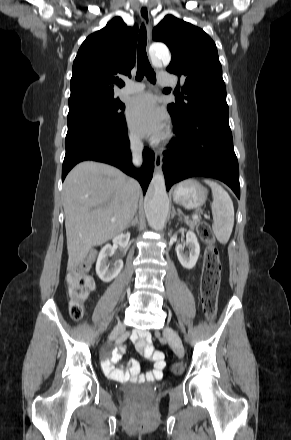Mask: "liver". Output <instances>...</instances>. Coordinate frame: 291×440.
<instances>
[{
    "mask_svg": "<svg viewBox=\"0 0 291 440\" xmlns=\"http://www.w3.org/2000/svg\"><path fill=\"white\" fill-rule=\"evenodd\" d=\"M138 198L137 183L110 165L84 161L68 173L63 184L68 271L82 263L93 246L128 227Z\"/></svg>",
    "mask_w": 291,
    "mask_h": 440,
    "instance_id": "6515ba94",
    "label": "liver"
}]
</instances>
